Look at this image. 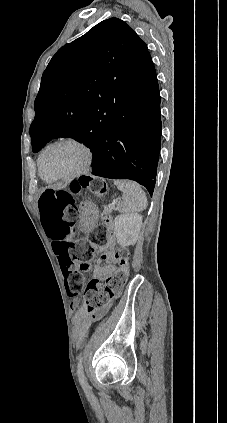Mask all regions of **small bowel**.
Wrapping results in <instances>:
<instances>
[{
	"instance_id": "small-bowel-1",
	"label": "small bowel",
	"mask_w": 227,
	"mask_h": 423,
	"mask_svg": "<svg viewBox=\"0 0 227 423\" xmlns=\"http://www.w3.org/2000/svg\"><path fill=\"white\" fill-rule=\"evenodd\" d=\"M52 247L55 252L56 241L52 240ZM101 257L106 261L104 266H96L93 270V277L95 279H102L112 274L116 269V262L113 256L112 244L108 243L100 248ZM78 300L73 299L70 302V309L76 310L78 308ZM109 304L92 313H85L84 311L77 312L73 317L74 334L77 342H82L86 337L91 325L99 320L108 310Z\"/></svg>"
}]
</instances>
